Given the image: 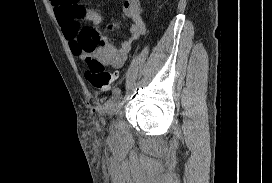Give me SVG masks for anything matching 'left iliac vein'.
Wrapping results in <instances>:
<instances>
[{"label": "left iliac vein", "instance_id": "4c4485c4", "mask_svg": "<svg viewBox=\"0 0 272 183\" xmlns=\"http://www.w3.org/2000/svg\"><path fill=\"white\" fill-rule=\"evenodd\" d=\"M120 99H114L106 104V111L109 115H113L119 108Z\"/></svg>", "mask_w": 272, "mask_h": 183}]
</instances>
